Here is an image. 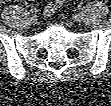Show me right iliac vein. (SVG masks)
Returning a JSON list of instances; mask_svg holds the SVG:
<instances>
[{"mask_svg":"<svg viewBox=\"0 0 111 106\" xmlns=\"http://www.w3.org/2000/svg\"><path fill=\"white\" fill-rule=\"evenodd\" d=\"M30 22H31L33 25L37 24V22H38L37 16H36V15H32L31 18H30Z\"/></svg>","mask_w":111,"mask_h":106,"instance_id":"63e3f726","label":"right iliac vein"}]
</instances>
